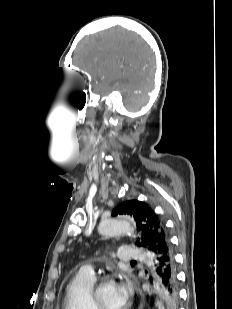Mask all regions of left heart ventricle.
Returning <instances> with one entry per match:
<instances>
[{
    "instance_id": "obj_1",
    "label": "left heart ventricle",
    "mask_w": 232,
    "mask_h": 309,
    "mask_svg": "<svg viewBox=\"0 0 232 309\" xmlns=\"http://www.w3.org/2000/svg\"><path fill=\"white\" fill-rule=\"evenodd\" d=\"M98 299L104 309H125L126 303L121 299L119 284L107 283L98 290Z\"/></svg>"
}]
</instances>
